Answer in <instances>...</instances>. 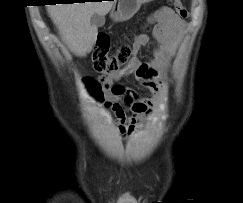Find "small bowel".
<instances>
[{"instance_id":"1","label":"small bowel","mask_w":243,"mask_h":203,"mask_svg":"<svg viewBox=\"0 0 243 203\" xmlns=\"http://www.w3.org/2000/svg\"><path fill=\"white\" fill-rule=\"evenodd\" d=\"M155 24L154 43L146 34H139L133 42L135 56L125 69L118 73L100 77L105 91L104 107L110 109L117 118L121 134L133 132L139 125L150 119L162 97V74L169 67L176 43L186 28V22L180 19L170 8H161L151 18ZM151 47L152 57L142 61L137 54ZM129 76H134L140 84L152 92V97H141L134 89L118 84Z\"/></svg>"}]
</instances>
